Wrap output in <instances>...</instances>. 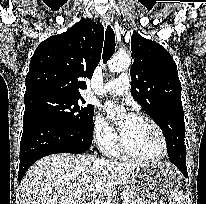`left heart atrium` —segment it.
I'll return each instance as SVG.
<instances>
[{"label": "left heart atrium", "mask_w": 206, "mask_h": 204, "mask_svg": "<svg viewBox=\"0 0 206 204\" xmlns=\"http://www.w3.org/2000/svg\"><path fill=\"white\" fill-rule=\"evenodd\" d=\"M114 108H115L114 103H107L105 106V109H106L108 114H111L113 112Z\"/></svg>", "instance_id": "obj_1"}]
</instances>
